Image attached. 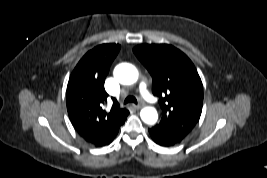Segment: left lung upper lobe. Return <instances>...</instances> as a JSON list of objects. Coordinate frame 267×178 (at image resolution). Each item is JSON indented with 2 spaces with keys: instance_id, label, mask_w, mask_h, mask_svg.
Masks as SVG:
<instances>
[{
  "instance_id": "5c2ea615",
  "label": "left lung upper lobe",
  "mask_w": 267,
  "mask_h": 178,
  "mask_svg": "<svg viewBox=\"0 0 267 178\" xmlns=\"http://www.w3.org/2000/svg\"><path fill=\"white\" fill-rule=\"evenodd\" d=\"M133 52L152 76V92L163 110L159 126L183 140L202 112L203 86L191 60L168 44H141Z\"/></svg>"
}]
</instances>
